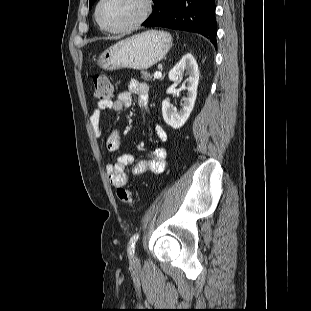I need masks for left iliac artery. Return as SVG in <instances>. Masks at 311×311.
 Wrapping results in <instances>:
<instances>
[{"mask_svg": "<svg viewBox=\"0 0 311 311\" xmlns=\"http://www.w3.org/2000/svg\"><path fill=\"white\" fill-rule=\"evenodd\" d=\"M138 238H139V233H136V234H134V235L131 237V239H130V241H129V244H128V254H129V257H132L133 254H134V251H135V244H136Z\"/></svg>", "mask_w": 311, "mask_h": 311, "instance_id": "left-iliac-artery-1", "label": "left iliac artery"}]
</instances>
